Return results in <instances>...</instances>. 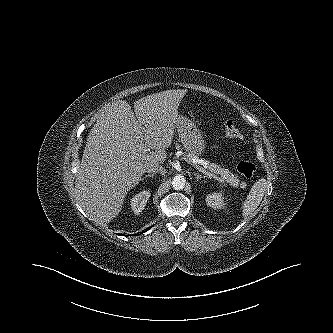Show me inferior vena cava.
<instances>
[{
    "instance_id": "inferior-vena-cava-1",
    "label": "inferior vena cava",
    "mask_w": 333,
    "mask_h": 333,
    "mask_svg": "<svg viewBox=\"0 0 333 333\" xmlns=\"http://www.w3.org/2000/svg\"><path fill=\"white\" fill-rule=\"evenodd\" d=\"M146 172L151 174H156V173L165 174L166 170L162 166L156 165L148 167Z\"/></svg>"
}]
</instances>
